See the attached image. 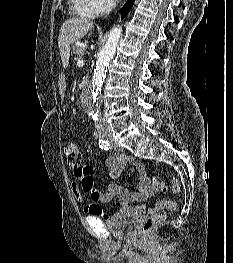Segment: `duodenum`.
<instances>
[{
	"label": "duodenum",
	"instance_id": "obj_1",
	"mask_svg": "<svg viewBox=\"0 0 233 263\" xmlns=\"http://www.w3.org/2000/svg\"><path fill=\"white\" fill-rule=\"evenodd\" d=\"M82 87H86V89H89V83L91 82L89 75H82Z\"/></svg>",
	"mask_w": 233,
	"mask_h": 263
}]
</instances>
